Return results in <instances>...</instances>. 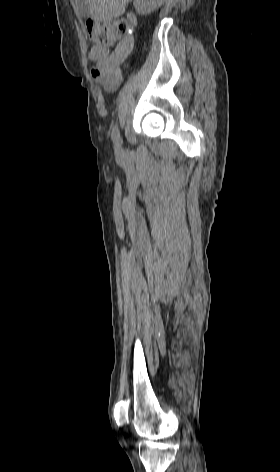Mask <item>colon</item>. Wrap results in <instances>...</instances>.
<instances>
[{
	"mask_svg": "<svg viewBox=\"0 0 280 472\" xmlns=\"http://www.w3.org/2000/svg\"><path fill=\"white\" fill-rule=\"evenodd\" d=\"M131 27L127 20H117L109 24H100L94 20L87 22L88 36L94 47L108 48L116 38L127 36Z\"/></svg>",
	"mask_w": 280,
	"mask_h": 472,
	"instance_id": "obj_1",
	"label": "colon"
}]
</instances>
